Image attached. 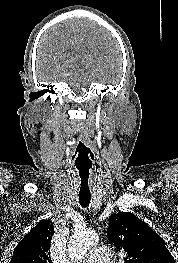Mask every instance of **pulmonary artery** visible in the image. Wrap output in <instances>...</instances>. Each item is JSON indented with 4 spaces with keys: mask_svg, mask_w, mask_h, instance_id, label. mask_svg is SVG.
Masks as SVG:
<instances>
[{
    "mask_svg": "<svg viewBox=\"0 0 178 263\" xmlns=\"http://www.w3.org/2000/svg\"><path fill=\"white\" fill-rule=\"evenodd\" d=\"M112 258V252L103 246H97L92 248L85 257L81 260V263H110Z\"/></svg>",
    "mask_w": 178,
    "mask_h": 263,
    "instance_id": "obj_1",
    "label": "pulmonary artery"
}]
</instances>
